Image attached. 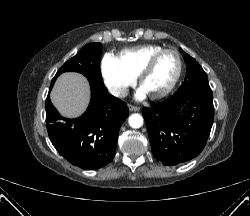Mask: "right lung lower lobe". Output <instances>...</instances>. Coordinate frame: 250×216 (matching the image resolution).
I'll list each match as a JSON object with an SVG mask.
<instances>
[{
  "mask_svg": "<svg viewBox=\"0 0 250 216\" xmlns=\"http://www.w3.org/2000/svg\"><path fill=\"white\" fill-rule=\"evenodd\" d=\"M90 87V105L74 120L60 116L49 94L46 99L47 130L53 146L70 163L86 170L99 169L111 162L119 129L129 115L126 103L109 95L104 85L90 83ZM61 119L69 123H61Z\"/></svg>",
  "mask_w": 250,
  "mask_h": 216,
  "instance_id": "98d812e1",
  "label": "right lung lower lobe"
}]
</instances>
